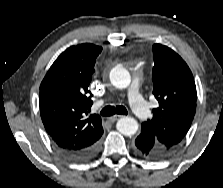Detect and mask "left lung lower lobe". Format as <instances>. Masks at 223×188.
I'll return each mask as SVG.
<instances>
[{
	"label": "left lung lower lobe",
	"instance_id": "0a47b994",
	"mask_svg": "<svg viewBox=\"0 0 223 188\" xmlns=\"http://www.w3.org/2000/svg\"><path fill=\"white\" fill-rule=\"evenodd\" d=\"M137 153L152 159H162L169 154L159 147L155 139L146 130L141 129V134L135 140Z\"/></svg>",
	"mask_w": 223,
	"mask_h": 188
}]
</instances>
